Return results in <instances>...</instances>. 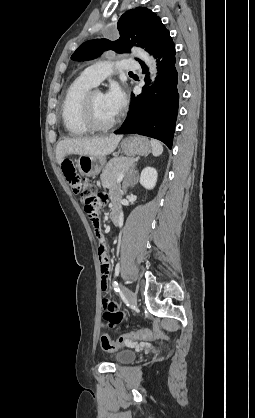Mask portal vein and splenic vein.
I'll use <instances>...</instances> for the list:
<instances>
[{
	"mask_svg": "<svg viewBox=\"0 0 255 418\" xmlns=\"http://www.w3.org/2000/svg\"><path fill=\"white\" fill-rule=\"evenodd\" d=\"M124 175H125V171H123V172L119 175V177H118V179H117V181H116V183H117V184H118V183H120V182L123 180Z\"/></svg>",
	"mask_w": 255,
	"mask_h": 418,
	"instance_id": "obj_1",
	"label": "portal vein and splenic vein"
}]
</instances>
